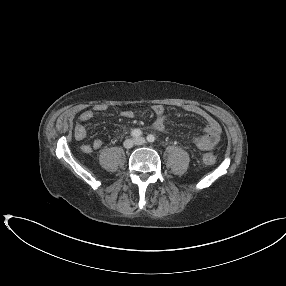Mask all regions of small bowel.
Wrapping results in <instances>:
<instances>
[{
    "instance_id": "c3829d8e",
    "label": "small bowel",
    "mask_w": 286,
    "mask_h": 286,
    "mask_svg": "<svg viewBox=\"0 0 286 286\" xmlns=\"http://www.w3.org/2000/svg\"><path fill=\"white\" fill-rule=\"evenodd\" d=\"M184 109L190 113L200 116L206 122L204 128V133L202 135L193 136L191 140L194 144L202 150H210L214 148L221 137V127L219 123L203 108L196 105H186ZM105 110L103 105H97L94 109H86L82 111L73 125V136L76 140H84L87 136V130L85 128V123L90 121L95 112H102ZM152 111L156 115V119L153 123V127L159 131L166 133L167 129V118L164 115L165 108L161 104H155L152 106ZM121 116L124 118H133L134 113L131 110L121 111ZM103 145V141L99 138L95 139L91 144H82L80 146V151L84 154H89L95 150H99Z\"/></svg>"
}]
</instances>
